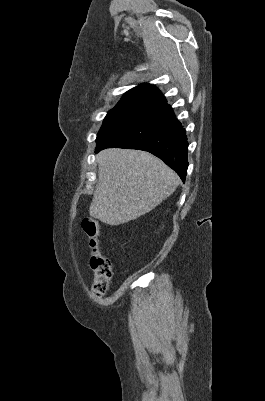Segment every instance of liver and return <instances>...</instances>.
<instances>
[{
    "label": "liver",
    "mask_w": 265,
    "mask_h": 401,
    "mask_svg": "<svg viewBox=\"0 0 265 401\" xmlns=\"http://www.w3.org/2000/svg\"><path fill=\"white\" fill-rule=\"evenodd\" d=\"M96 160L98 182L89 213L106 225H123L150 213L179 184L178 174L145 150L105 148Z\"/></svg>",
    "instance_id": "1"
}]
</instances>
